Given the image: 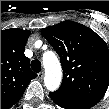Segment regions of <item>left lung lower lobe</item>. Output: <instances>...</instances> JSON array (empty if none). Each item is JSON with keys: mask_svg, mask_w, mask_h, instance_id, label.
<instances>
[{"mask_svg": "<svg viewBox=\"0 0 109 109\" xmlns=\"http://www.w3.org/2000/svg\"><path fill=\"white\" fill-rule=\"evenodd\" d=\"M49 95L57 105L64 109H89L94 106L87 101L78 99L58 90L50 93Z\"/></svg>", "mask_w": 109, "mask_h": 109, "instance_id": "1", "label": "left lung lower lobe"}]
</instances>
